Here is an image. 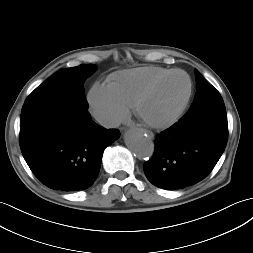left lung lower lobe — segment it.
<instances>
[{
	"label": "left lung lower lobe",
	"mask_w": 253,
	"mask_h": 253,
	"mask_svg": "<svg viewBox=\"0 0 253 253\" xmlns=\"http://www.w3.org/2000/svg\"><path fill=\"white\" fill-rule=\"evenodd\" d=\"M227 138L226 111L181 118L156 136L155 153L144 164V173L162 189L193 185L212 171L224 152Z\"/></svg>",
	"instance_id": "0a47b994"
}]
</instances>
